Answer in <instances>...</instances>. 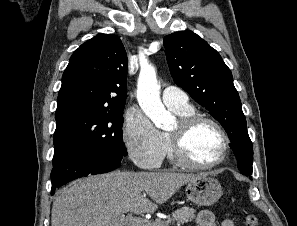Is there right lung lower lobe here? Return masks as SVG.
<instances>
[{
  "label": "right lung lower lobe",
  "mask_w": 297,
  "mask_h": 226,
  "mask_svg": "<svg viewBox=\"0 0 297 226\" xmlns=\"http://www.w3.org/2000/svg\"><path fill=\"white\" fill-rule=\"evenodd\" d=\"M123 155L86 146L68 145L55 148L51 173L52 189L89 174L110 172L121 165Z\"/></svg>",
  "instance_id": "right-lung-lower-lobe-1"
}]
</instances>
